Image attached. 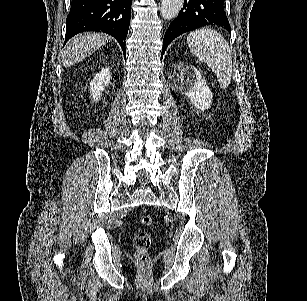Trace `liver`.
<instances>
[{"label":"liver","instance_id":"6515ba94","mask_svg":"<svg viewBox=\"0 0 307 301\" xmlns=\"http://www.w3.org/2000/svg\"><path fill=\"white\" fill-rule=\"evenodd\" d=\"M112 36L103 34V32H80L73 38H70L62 50V60L64 66H72L80 60H84L86 56H90L92 52L110 42Z\"/></svg>","mask_w":307,"mask_h":301}]
</instances>
